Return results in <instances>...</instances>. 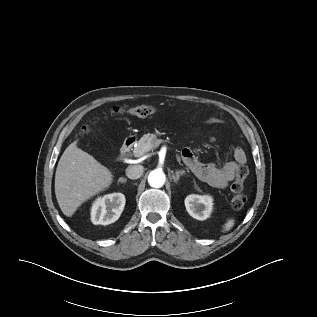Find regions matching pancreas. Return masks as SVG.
<instances>
[{"label": "pancreas", "instance_id": "cf45deb5", "mask_svg": "<svg viewBox=\"0 0 317 317\" xmlns=\"http://www.w3.org/2000/svg\"><path fill=\"white\" fill-rule=\"evenodd\" d=\"M158 144L159 142L157 141V137L155 134H145L137 142V145L135 146L133 153L136 157L143 156L147 152L156 148Z\"/></svg>", "mask_w": 317, "mask_h": 317}]
</instances>
